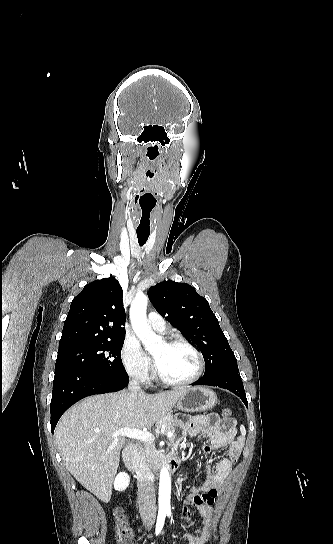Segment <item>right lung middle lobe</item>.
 <instances>
[{
  "mask_svg": "<svg viewBox=\"0 0 333 544\" xmlns=\"http://www.w3.org/2000/svg\"><path fill=\"white\" fill-rule=\"evenodd\" d=\"M124 338L101 339L59 348L55 367L71 365L101 376L125 380L128 375L121 360Z\"/></svg>",
  "mask_w": 333,
  "mask_h": 544,
  "instance_id": "dd1d6c3e",
  "label": "right lung middle lobe"
}]
</instances>
